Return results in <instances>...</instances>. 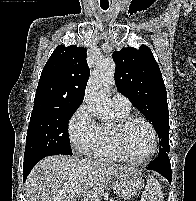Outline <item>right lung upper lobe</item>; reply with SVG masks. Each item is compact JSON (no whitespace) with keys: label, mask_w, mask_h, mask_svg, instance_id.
I'll return each instance as SVG.
<instances>
[{"label":"right lung upper lobe","mask_w":196,"mask_h":201,"mask_svg":"<svg viewBox=\"0 0 196 201\" xmlns=\"http://www.w3.org/2000/svg\"><path fill=\"white\" fill-rule=\"evenodd\" d=\"M86 57V49L83 47L58 46L43 68L34 105L79 107L90 75Z\"/></svg>","instance_id":"1"}]
</instances>
